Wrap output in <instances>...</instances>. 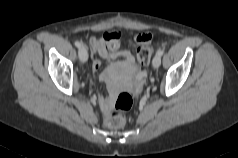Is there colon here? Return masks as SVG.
<instances>
[{"mask_svg": "<svg viewBox=\"0 0 238 158\" xmlns=\"http://www.w3.org/2000/svg\"><path fill=\"white\" fill-rule=\"evenodd\" d=\"M146 39V37H143ZM152 49L148 46H140L137 49L138 62L146 66L149 64ZM133 98L128 92H120L116 97L114 109L107 114L104 123L108 128L118 129L125 125L127 111L132 107Z\"/></svg>", "mask_w": 238, "mask_h": 158, "instance_id": "5ec220e1", "label": "colon"}]
</instances>
